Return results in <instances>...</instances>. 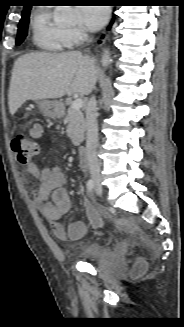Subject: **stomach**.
<instances>
[{"instance_id":"1","label":"stomach","mask_w":184,"mask_h":327,"mask_svg":"<svg viewBox=\"0 0 184 327\" xmlns=\"http://www.w3.org/2000/svg\"><path fill=\"white\" fill-rule=\"evenodd\" d=\"M41 113L50 118H56L61 115V104L58 101L42 100L39 102Z\"/></svg>"}]
</instances>
